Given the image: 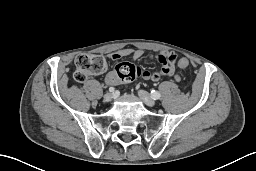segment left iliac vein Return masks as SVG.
Here are the masks:
<instances>
[{
  "label": "left iliac vein",
  "mask_w": 256,
  "mask_h": 171,
  "mask_svg": "<svg viewBox=\"0 0 256 171\" xmlns=\"http://www.w3.org/2000/svg\"><path fill=\"white\" fill-rule=\"evenodd\" d=\"M138 95L141 98V100L149 107H154L156 102L154 98H152L146 91L139 90Z\"/></svg>",
  "instance_id": "4c4485c4"
}]
</instances>
